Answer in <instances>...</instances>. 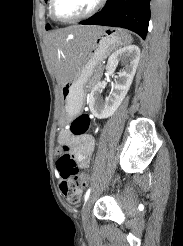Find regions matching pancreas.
<instances>
[{
  "label": "pancreas",
  "mask_w": 183,
  "mask_h": 246,
  "mask_svg": "<svg viewBox=\"0 0 183 246\" xmlns=\"http://www.w3.org/2000/svg\"><path fill=\"white\" fill-rule=\"evenodd\" d=\"M99 70H95V73H97Z\"/></svg>",
  "instance_id": "pancreas-1"
}]
</instances>
